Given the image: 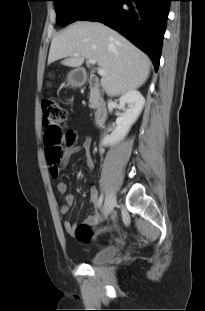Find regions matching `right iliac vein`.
Instances as JSON below:
<instances>
[{
    "label": "right iliac vein",
    "instance_id": "obj_1",
    "mask_svg": "<svg viewBox=\"0 0 205 311\" xmlns=\"http://www.w3.org/2000/svg\"><path fill=\"white\" fill-rule=\"evenodd\" d=\"M116 204V195L114 193H110L107 195L104 203V215L108 216L113 210Z\"/></svg>",
    "mask_w": 205,
    "mask_h": 311
}]
</instances>
